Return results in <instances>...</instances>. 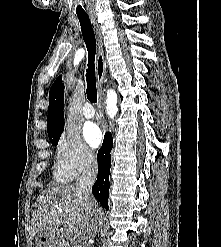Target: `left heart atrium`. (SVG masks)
I'll use <instances>...</instances> for the list:
<instances>
[{
	"label": "left heart atrium",
	"mask_w": 221,
	"mask_h": 247,
	"mask_svg": "<svg viewBox=\"0 0 221 247\" xmlns=\"http://www.w3.org/2000/svg\"><path fill=\"white\" fill-rule=\"evenodd\" d=\"M83 136L91 147H97L102 141V133L94 123H87L83 128Z\"/></svg>",
	"instance_id": "obj_1"
}]
</instances>
